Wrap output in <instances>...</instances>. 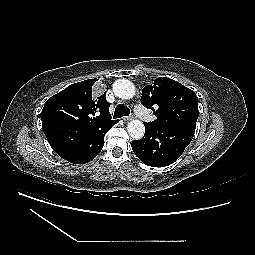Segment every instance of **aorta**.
<instances>
[{"label":"aorta","mask_w":255,"mask_h":255,"mask_svg":"<svg viewBox=\"0 0 255 255\" xmlns=\"http://www.w3.org/2000/svg\"><path fill=\"white\" fill-rule=\"evenodd\" d=\"M114 94L121 99H131L135 94V87L129 80H117L113 84ZM127 131L131 138L141 139L145 132L144 124L137 119L131 120L127 125Z\"/></svg>","instance_id":"762f6f07"}]
</instances>
